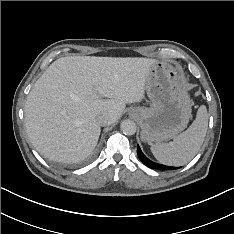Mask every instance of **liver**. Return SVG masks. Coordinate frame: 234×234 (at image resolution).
<instances>
[{
    "label": "liver",
    "mask_w": 234,
    "mask_h": 234,
    "mask_svg": "<svg viewBox=\"0 0 234 234\" xmlns=\"http://www.w3.org/2000/svg\"><path fill=\"white\" fill-rule=\"evenodd\" d=\"M154 63L143 57L95 56L54 61L26 99L25 128L32 145L50 160H84L100 136L97 117L107 113L112 124L127 103L142 101Z\"/></svg>",
    "instance_id": "6515ba94"
}]
</instances>
